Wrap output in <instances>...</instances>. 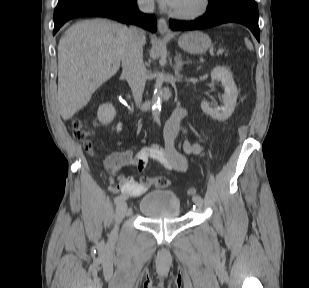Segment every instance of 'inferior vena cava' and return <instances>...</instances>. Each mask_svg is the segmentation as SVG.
Listing matches in <instances>:
<instances>
[{
  "instance_id": "inferior-vena-cava-1",
  "label": "inferior vena cava",
  "mask_w": 309,
  "mask_h": 288,
  "mask_svg": "<svg viewBox=\"0 0 309 288\" xmlns=\"http://www.w3.org/2000/svg\"><path fill=\"white\" fill-rule=\"evenodd\" d=\"M138 6L143 12H154V0H138ZM144 38L143 32L136 28L129 29L127 44L124 46L121 54L123 72L127 77L136 103L142 101L145 88V67L142 49Z\"/></svg>"
}]
</instances>
